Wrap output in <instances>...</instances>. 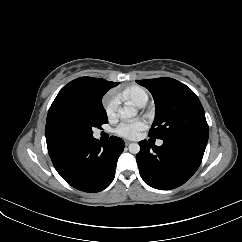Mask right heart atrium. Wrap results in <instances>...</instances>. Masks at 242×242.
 <instances>
[{
	"instance_id": "d8ad5b80",
	"label": "right heart atrium",
	"mask_w": 242,
	"mask_h": 242,
	"mask_svg": "<svg viewBox=\"0 0 242 242\" xmlns=\"http://www.w3.org/2000/svg\"><path fill=\"white\" fill-rule=\"evenodd\" d=\"M118 98L116 95L110 93L104 99V110L108 118H114L118 110Z\"/></svg>"
}]
</instances>
